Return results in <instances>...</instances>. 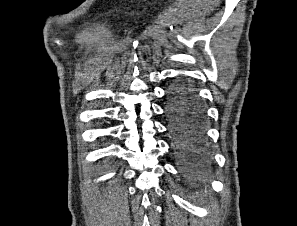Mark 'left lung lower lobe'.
Segmentation results:
<instances>
[{"mask_svg": "<svg viewBox=\"0 0 297 226\" xmlns=\"http://www.w3.org/2000/svg\"><path fill=\"white\" fill-rule=\"evenodd\" d=\"M167 98L168 129L181 171L189 180H200L209 164L203 106L193 87L186 82L173 85Z\"/></svg>", "mask_w": 297, "mask_h": 226, "instance_id": "obj_1", "label": "left lung lower lobe"}]
</instances>
